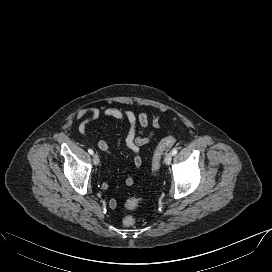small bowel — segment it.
<instances>
[{
	"instance_id": "c3829d8e",
	"label": "small bowel",
	"mask_w": 272,
	"mask_h": 272,
	"mask_svg": "<svg viewBox=\"0 0 272 272\" xmlns=\"http://www.w3.org/2000/svg\"><path fill=\"white\" fill-rule=\"evenodd\" d=\"M101 115L106 118H114L116 120L124 121L129 124V132L126 137V145L133 152V164L136 168L141 167L142 157L140 155L141 147L149 144L156 136L157 131L161 127V117L155 115L152 118L149 117L148 113L141 111L135 113L134 111L126 108L111 107L104 111H101L97 107H86L80 109L76 113V118L80 119L79 132L82 135H86L87 125L90 122L97 120ZM152 125V130L149 133H145L144 130ZM97 147L100 151L110 154V148L105 140H98ZM127 186L134 184V176L131 172L125 179ZM102 189H107V183H102ZM109 207L115 209L117 207V201L111 199L109 201Z\"/></svg>"
}]
</instances>
